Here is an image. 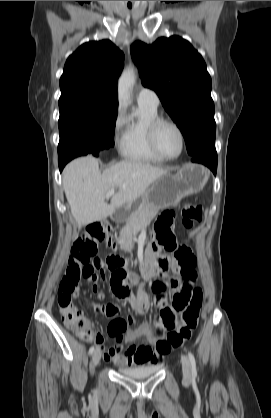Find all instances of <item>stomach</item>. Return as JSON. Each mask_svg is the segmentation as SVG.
I'll use <instances>...</instances> for the list:
<instances>
[{"label":"stomach","instance_id":"0dacf381","mask_svg":"<svg viewBox=\"0 0 271 418\" xmlns=\"http://www.w3.org/2000/svg\"><path fill=\"white\" fill-rule=\"evenodd\" d=\"M209 176V170L203 165L185 164L175 174L168 172L156 179L140 199L115 214L113 220L122 221L128 212L141 205H148L157 210L173 206L184 197L200 192Z\"/></svg>","mask_w":271,"mask_h":418}]
</instances>
